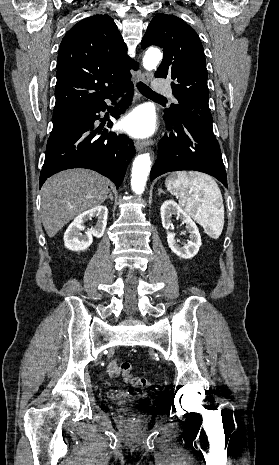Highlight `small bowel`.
<instances>
[{
	"label": "small bowel",
	"mask_w": 279,
	"mask_h": 465,
	"mask_svg": "<svg viewBox=\"0 0 279 465\" xmlns=\"http://www.w3.org/2000/svg\"><path fill=\"white\" fill-rule=\"evenodd\" d=\"M107 372L110 376H115L119 373V367L117 364V360L111 361L107 366Z\"/></svg>",
	"instance_id": "obj_1"
}]
</instances>
